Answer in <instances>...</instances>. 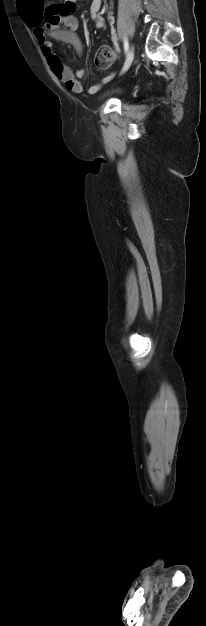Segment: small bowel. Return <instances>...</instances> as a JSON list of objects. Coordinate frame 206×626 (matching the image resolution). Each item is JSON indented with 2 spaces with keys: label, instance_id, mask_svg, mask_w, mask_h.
Returning <instances> with one entry per match:
<instances>
[{
  "label": "small bowel",
  "instance_id": "obj_1",
  "mask_svg": "<svg viewBox=\"0 0 206 626\" xmlns=\"http://www.w3.org/2000/svg\"><path fill=\"white\" fill-rule=\"evenodd\" d=\"M102 0H92L89 11L97 28H103L105 22L99 17ZM76 11V0H65L61 3L50 4L44 8L42 2L36 3L31 13L26 17V21L33 27L35 38L50 65L55 76L62 81L73 93L84 91L81 79L86 71L79 69L73 71L55 53L53 43L48 39L52 38L58 42L71 45L74 50L81 54L82 43L76 30L78 19L74 15ZM112 75L103 78L98 83L87 89L89 94L96 93L103 84L108 82Z\"/></svg>",
  "mask_w": 206,
  "mask_h": 626
}]
</instances>
